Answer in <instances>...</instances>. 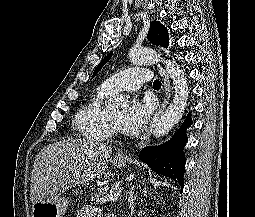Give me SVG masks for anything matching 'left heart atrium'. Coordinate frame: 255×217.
Listing matches in <instances>:
<instances>
[{
  "mask_svg": "<svg viewBox=\"0 0 255 217\" xmlns=\"http://www.w3.org/2000/svg\"><path fill=\"white\" fill-rule=\"evenodd\" d=\"M153 111L149 100L133 99L121 122V130L128 135L139 133L146 125Z\"/></svg>",
  "mask_w": 255,
  "mask_h": 217,
  "instance_id": "obj_1",
  "label": "left heart atrium"
}]
</instances>
